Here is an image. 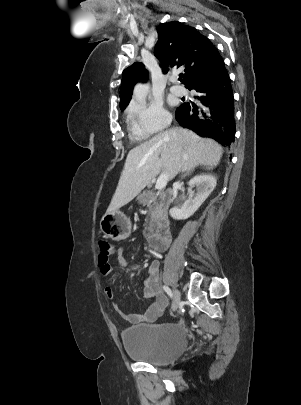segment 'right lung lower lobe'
Wrapping results in <instances>:
<instances>
[{
	"label": "right lung lower lobe",
	"instance_id": "1",
	"mask_svg": "<svg viewBox=\"0 0 301 405\" xmlns=\"http://www.w3.org/2000/svg\"><path fill=\"white\" fill-rule=\"evenodd\" d=\"M202 107L182 104L176 110V120L202 137H210L224 147L234 142L236 125L234 96L229 75L223 63L210 76L191 84Z\"/></svg>",
	"mask_w": 301,
	"mask_h": 405
}]
</instances>
